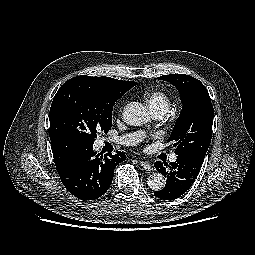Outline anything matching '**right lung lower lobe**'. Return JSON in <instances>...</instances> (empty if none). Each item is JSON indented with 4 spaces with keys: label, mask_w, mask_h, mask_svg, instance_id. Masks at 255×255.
I'll use <instances>...</instances> for the list:
<instances>
[{
    "label": "right lung lower lobe",
    "mask_w": 255,
    "mask_h": 255,
    "mask_svg": "<svg viewBox=\"0 0 255 255\" xmlns=\"http://www.w3.org/2000/svg\"><path fill=\"white\" fill-rule=\"evenodd\" d=\"M51 148L63 185L81 200L102 196L111 185L115 167L126 160L121 151L100 156L93 150V144L72 139H53Z\"/></svg>",
    "instance_id": "right-lung-lower-lobe-1"
}]
</instances>
